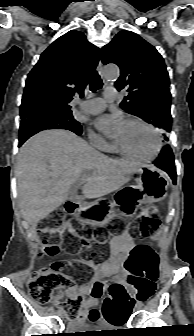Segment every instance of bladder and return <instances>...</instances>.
Instances as JSON below:
<instances>
[{"label": "bladder", "mask_w": 194, "mask_h": 336, "mask_svg": "<svg viewBox=\"0 0 194 336\" xmlns=\"http://www.w3.org/2000/svg\"><path fill=\"white\" fill-rule=\"evenodd\" d=\"M87 328V324L83 322L74 321L71 323L70 327H68L69 330L73 331H79L84 330Z\"/></svg>", "instance_id": "bladder-1"}]
</instances>
